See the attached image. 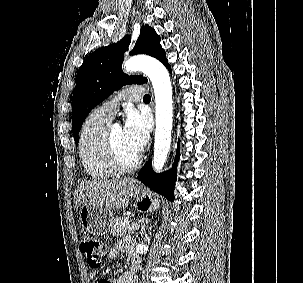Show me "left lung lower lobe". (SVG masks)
<instances>
[{"mask_svg": "<svg viewBox=\"0 0 303 283\" xmlns=\"http://www.w3.org/2000/svg\"><path fill=\"white\" fill-rule=\"evenodd\" d=\"M166 68L171 73V67L169 64L165 65ZM178 160V153L175 159V164ZM138 180L143 182L146 186H148L151 190L155 191L166 197L169 200L173 198L174 191V180H175V168H173L169 172L156 174L154 173L151 161H148L144 167L138 173Z\"/></svg>", "mask_w": 303, "mask_h": 283, "instance_id": "0a47b994", "label": "left lung lower lobe"}]
</instances>
